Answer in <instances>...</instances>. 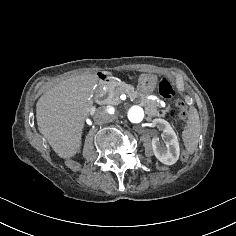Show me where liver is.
Segmentation results:
<instances>
[{
    "label": "liver",
    "mask_w": 236,
    "mask_h": 236,
    "mask_svg": "<svg viewBox=\"0 0 236 236\" xmlns=\"http://www.w3.org/2000/svg\"><path fill=\"white\" fill-rule=\"evenodd\" d=\"M110 76L108 70L98 72ZM98 73H84L65 79L48 89L36 103L39 133L61 159L81 152L86 119L95 110L93 90L100 81Z\"/></svg>",
    "instance_id": "liver-1"
}]
</instances>
